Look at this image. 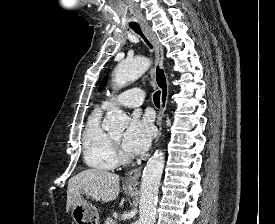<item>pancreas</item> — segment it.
I'll use <instances>...</instances> for the list:
<instances>
[{
    "instance_id": "obj_1",
    "label": "pancreas",
    "mask_w": 275,
    "mask_h": 224,
    "mask_svg": "<svg viewBox=\"0 0 275 224\" xmlns=\"http://www.w3.org/2000/svg\"><path fill=\"white\" fill-rule=\"evenodd\" d=\"M104 224H116V222L111 217H107Z\"/></svg>"
}]
</instances>
